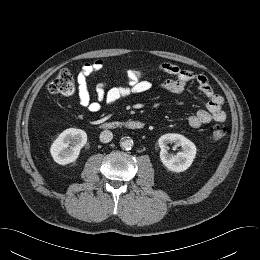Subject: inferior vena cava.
<instances>
[{
	"instance_id": "inferior-vena-cava-1",
	"label": "inferior vena cava",
	"mask_w": 260,
	"mask_h": 260,
	"mask_svg": "<svg viewBox=\"0 0 260 260\" xmlns=\"http://www.w3.org/2000/svg\"><path fill=\"white\" fill-rule=\"evenodd\" d=\"M113 139V134L109 130H104L100 134V141L103 143H108Z\"/></svg>"
}]
</instances>
